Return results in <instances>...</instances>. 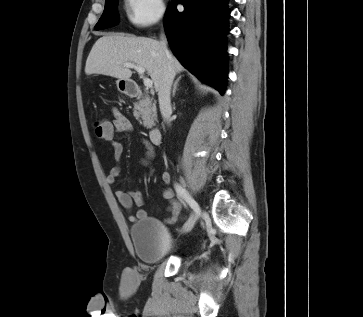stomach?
I'll use <instances>...</instances> for the list:
<instances>
[{"label": "stomach", "instance_id": "0dacf381", "mask_svg": "<svg viewBox=\"0 0 363 317\" xmlns=\"http://www.w3.org/2000/svg\"><path fill=\"white\" fill-rule=\"evenodd\" d=\"M129 80L124 79H118L116 81L117 89L119 92L127 94L128 93V87H129Z\"/></svg>", "mask_w": 363, "mask_h": 317}]
</instances>
